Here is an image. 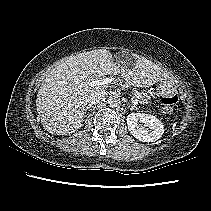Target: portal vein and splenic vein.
Returning a JSON list of instances; mask_svg holds the SVG:
<instances>
[{"instance_id": "1", "label": "portal vein and splenic vein", "mask_w": 211, "mask_h": 211, "mask_svg": "<svg viewBox=\"0 0 211 211\" xmlns=\"http://www.w3.org/2000/svg\"><path fill=\"white\" fill-rule=\"evenodd\" d=\"M112 82V79L111 78H104V79H98L94 82L91 83L92 86H102V85H106V84H109ZM132 103L134 105H137L138 104V101L137 99L135 98H132Z\"/></svg>"}]
</instances>
